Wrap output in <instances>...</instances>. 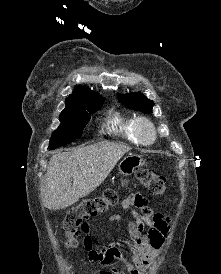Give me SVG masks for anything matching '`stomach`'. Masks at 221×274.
Returning a JSON list of instances; mask_svg holds the SVG:
<instances>
[{
  "mask_svg": "<svg viewBox=\"0 0 221 274\" xmlns=\"http://www.w3.org/2000/svg\"><path fill=\"white\" fill-rule=\"evenodd\" d=\"M145 161L138 155L129 154L126 156L118 165L119 172L128 176L131 175L135 170L141 166H143Z\"/></svg>",
  "mask_w": 221,
  "mask_h": 274,
  "instance_id": "stomach-1",
  "label": "stomach"
}]
</instances>
